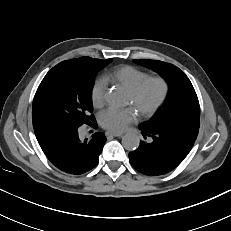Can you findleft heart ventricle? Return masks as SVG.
Segmentation results:
<instances>
[{"label": "left heart ventricle", "instance_id": "b2bd125f", "mask_svg": "<svg viewBox=\"0 0 231 231\" xmlns=\"http://www.w3.org/2000/svg\"><path fill=\"white\" fill-rule=\"evenodd\" d=\"M162 86L158 82L148 84L137 99L128 94L127 104L134 106L140 112L151 107L160 97Z\"/></svg>", "mask_w": 231, "mask_h": 231}]
</instances>
